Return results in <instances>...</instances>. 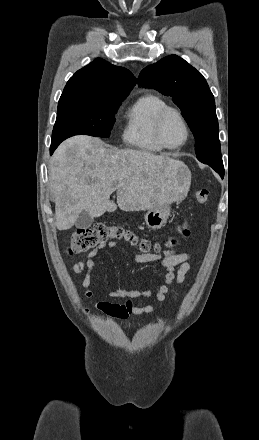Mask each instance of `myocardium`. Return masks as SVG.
<instances>
[{
	"instance_id": "f54148a6",
	"label": "myocardium",
	"mask_w": 259,
	"mask_h": 440,
	"mask_svg": "<svg viewBox=\"0 0 259 440\" xmlns=\"http://www.w3.org/2000/svg\"><path fill=\"white\" fill-rule=\"evenodd\" d=\"M169 114H175L179 118V120L181 121V123H182V125H183V127L185 129V139L183 140V142H181L180 144L175 145V146L168 145L165 142V140L163 138V135H162V127H163V124H164V121H165L166 117ZM154 133H155V137H156L157 142L164 149H167V150H177V149L183 147L188 142V140L190 138V127H189V124H188L185 116L183 115V113L180 110H178L177 108L169 107L168 106V107L164 108L159 113V115H158V117L156 119V122H155Z\"/></svg>"
}]
</instances>
